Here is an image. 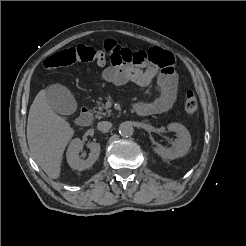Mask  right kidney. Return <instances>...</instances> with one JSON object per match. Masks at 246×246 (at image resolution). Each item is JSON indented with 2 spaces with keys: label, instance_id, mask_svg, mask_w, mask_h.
I'll return each instance as SVG.
<instances>
[{
  "label": "right kidney",
  "instance_id": "1",
  "mask_svg": "<svg viewBox=\"0 0 246 246\" xmlns=\"http://www.w3.org/2000/svg\"><path fill=\"white\" fill-rule=\"evenodd\" d=\"M90 153L87 159H81L79 153L83 149V142L76 138L72 140L67 150V162L72 169L83 171L93 166L100 155V144L96 142L88 143Z\"/></svg>",
  "mask_w": 246,
  "mask_h": 246
}]
</instances>
